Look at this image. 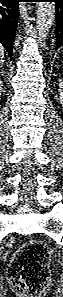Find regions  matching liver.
<instances>
[{
  "label": "liver",
  "mask_w": 63,
  "mask_h": 297,
  "mask_svg": "<svg viewBox=\"0 0 63 297\" xmlns=\"http://www.w3.org/2000/svg\"><path fill=\"white\" fill-rule=\"evenodd\" d=\"M0 64H2L3 63V61H4V49H3V47H0Z\"/></svg>",
  "instance_id": "obj_1"
}]
</instances>
